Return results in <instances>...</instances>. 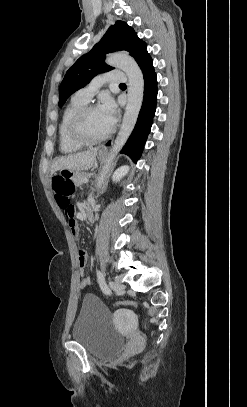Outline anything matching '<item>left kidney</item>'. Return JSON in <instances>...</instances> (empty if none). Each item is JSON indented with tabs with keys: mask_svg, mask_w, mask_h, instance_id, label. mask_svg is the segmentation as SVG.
<instances>
[{
	"mask_svg": "<svg viewBox=\"0 0 247 407\" xmlns=\"http://www.w3.org/2000/svg\"><path fill=\"white\" fill-rule=\"evenodd\" d=\"M128 170H129V167H128V166H122V167H120V168L114 173V175H113V181H116V182L120 181V179H121L123 176H125V175L127 174Z\"/></svg>",
	"mask_w": 247,
	"mask_h": 407,
	"instance_id": "obj_1",
	"label": "left kidney"
}]
</instances>
